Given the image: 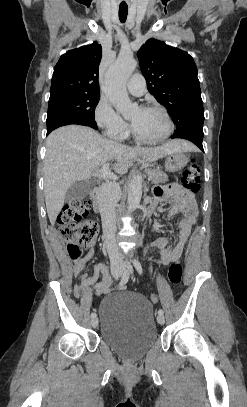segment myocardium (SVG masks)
I'll use <instances>...</instances> for the list:
<instances>
[{
	"label": "myocardium",
	"instance_id": "myocardium-1",
	"mask_svg": "<svg viewBox=\"0 0 247 407\" xmlns=\"http://www.w3.org/2000/svg\"><path fill=\"white\" fill-rule=\"evenodd\" d=\"M140 108L159 111L167 121L168 130L161 138L155 139V140H148V139L142 138L136 132L132 123L129 122V131H130V134L132 135V137L134 138V140L137 141L138 143L144 144V145H157V144L165 142L174 132V122H173L172 117L170 116L169 112L163 106H160L157 104H147V105L141 106Z\"/></svg>",
	"mask_w": 247,
	"mask_h": 407
}]
</instances>
